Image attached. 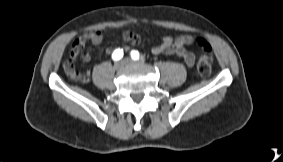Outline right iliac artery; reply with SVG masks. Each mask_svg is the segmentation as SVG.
<instances>
[{"mask_svg":"<svg viewBox=\"0 0 283 162\" xmlns=\"http://www.w3.org/2000/svg\"><path fill=\"white\" fill-rule=\"evenodd\" d=\"M123 50L122 49H116L112 54V59L114 61L120 60L123 57Z\"/></svg>","mask_w":283,"mask_h":162,"instance_id":"right-iliac-artery-1","label":"right iliac artery"}]
</instances>
